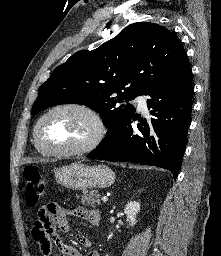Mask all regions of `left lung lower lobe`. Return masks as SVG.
I'll return each instance as SVG.
<instances>
[{"label":"left lung lower lobe","mask_w":221,"mask_h":256,"mask_svg":"<svg viewBox=\"0 0 221 256\" xmlns=\"http://www.w3.org/2000/svg\"><path fill=\"white\" fill-rule=\"evenodd\" d=\"M187 63L179 72L155 85L146 95L152 117L138 118V130L131 127L133 115L105 138L87 157L152 165L170 170L177 178L186 148L194 87Z\"/></svg>","instance_id":"0a47b994"}]
</instances>
